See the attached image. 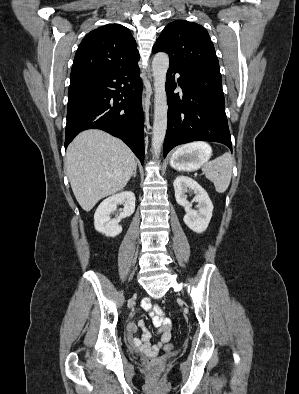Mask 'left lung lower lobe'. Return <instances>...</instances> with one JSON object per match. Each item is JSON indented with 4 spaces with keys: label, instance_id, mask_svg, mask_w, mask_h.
<instances>
[{
    "label": "left lung lower lobe",
    "instance_id": "obj_1",
    "mask_svg": "<svg viewBox=\"0 0 299 394\" xmlns=\"http://www.w3.org/2000/svg\"><path fill=\"white\" fill-rule=\"evenodd\" d=\"M173 73H179L178 84L183 97L175 94L177 86ZM166 93L168 126L164 141V157L175 146L192 141H214L232 150L225 114L222 78L210 69L179 70L169 67Z\"/></svg>",
    "mask_w": 299,
    "mask_h": 394
}]
</instances>
